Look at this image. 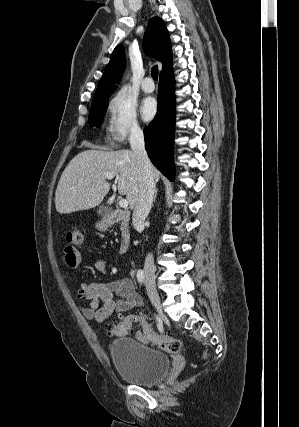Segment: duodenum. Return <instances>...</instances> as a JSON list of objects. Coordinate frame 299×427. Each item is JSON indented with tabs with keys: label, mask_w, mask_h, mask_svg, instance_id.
I'll return each instance as SVG.
<instances>
[{
	"label": "duodenum",
	"mask_w": 299,
	"mask_h": 427,
	"mask_svg": "<svg viewBox=\"0 0 299 427\" xmlns=\"http://www.w3.org/2000/svg\"><path fill=\"white\" fill-rule=\"evenodd\" d=\"M129 213L123 210H114L109 214L108 225H115L117 223H127L129 221ZM130 240L126 234L122 235L120 245H119V254L121 256L125 255L129 249Z\"/></svg>",
	"instance_id": "410a0bca"
}]
</instances>
